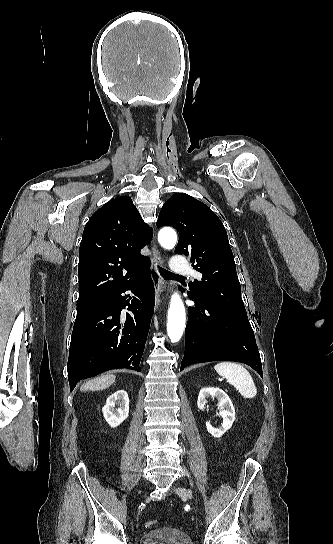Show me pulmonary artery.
I'll use <instances>...</instances> for the list:
<instances>
[{
  "label": "pulmonary artery",
  "instance_id": "e3ab8cb5",
  "mask_svg": "<svg viewBox=\"0 0 333 544\" xmlns=\"http://www.w3.org/2000/svg\"><path fill=\"white\" fill-rule=\"evenodd\" d=\"M172 270L177 274H192L188 261L181 256H175L172 261Z\"/></svg>",
  "mask_w": 333,
  "mask_h": 544
}]
</instances>
